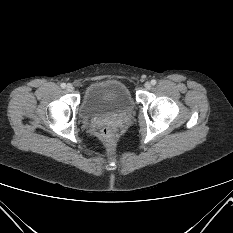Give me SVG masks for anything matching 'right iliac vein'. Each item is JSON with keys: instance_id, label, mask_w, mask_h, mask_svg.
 <instances>
[{"instance_id": "obj_1", "label": "right iliac vein", "mask_w": 233, "mask_h": 233, "mask_svg": "<svg viewBox=\"0 0 233 233\" xmlns=\"http://www.w3.org/2000/svg\"><path fill=\"white\" fill-rule=\"evenodd\" d=\"M66 90H67L68 92H73V90H74L73 85H72V84H68V85L66 86Z\"/></svg>"}]
</instances>
